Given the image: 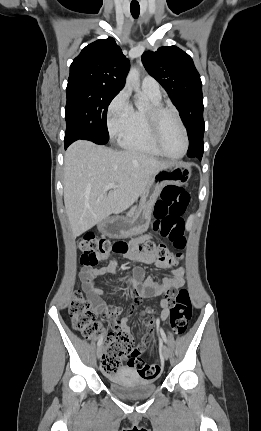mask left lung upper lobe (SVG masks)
Returning a JSON list of instances; mask_svg holds the SVG:
<instances>
[{
	"instance_id": "left-lung-upper-lobe-1",
	"label": "left lung upper lobe",
	"mask_w": 261,
	"mask_h": 431,
	"mask_svg": "<svg viewBox=\"0 0 261 431\" xmlns=\"http://www.w3.org/2000/svg\"><path fill=\"white\" fill-rule=\"evenodd\" d=\"M142 62L148 73L167 91L178 109L189 136V157L202 158L203 95L200 75L192 58L176 46L146 51Z\"/></svg>"
}]
</instances>
